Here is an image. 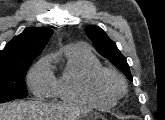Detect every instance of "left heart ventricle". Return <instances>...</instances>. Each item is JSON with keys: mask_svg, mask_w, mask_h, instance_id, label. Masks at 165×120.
<instances>
[{"mask_svg": "<svg viewBox=\"0 0 165 120\" xmlns=\"http://www.w3.org/2000/svg\"><path fill=\"white\" fill-rule=\"evenodd\" d=\"M103 85L105 87L110 88V89H117L118 88L117 82L114 79H112L111 77H106L103 80Z\"/></svg>", "mask_w": 165, "mask_h": 120, "instance_id": "1", "label": "left heart ventricle"}]
</instances>
